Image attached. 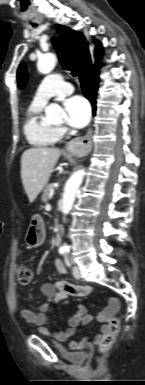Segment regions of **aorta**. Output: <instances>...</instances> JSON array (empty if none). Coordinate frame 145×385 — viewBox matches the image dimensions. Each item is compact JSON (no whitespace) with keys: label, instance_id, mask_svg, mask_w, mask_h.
Returning <instances> with one entry per match:
<instances>
[{"label":"aorta","instance_id":"obj_1","mask_svg":"<svg viewBox=\"0 0 145 385\" xmlns=\"http://www.w3.org/2000/svg\"><path fill=\"white\" fill-rule=\"evenodd\" d=\"M55 65H56V57L51 53L45 54L42 57H40L37 63L38 70L43 74L50 73L55 67ZM61 112H62V109L57 104H50L45 109L46 116L49 118H52L60 114ZM84 175H85L84 169L78 170L67 181L64 188L62 209H61L63 214L67 215L70 212L75 200L76 191L81 185ZM61 249L64 251H68L69 246L64 244L61 247Z\"/></svg>","mask_w":145,"mask_h":385}]
</instances>
